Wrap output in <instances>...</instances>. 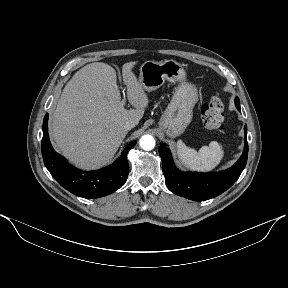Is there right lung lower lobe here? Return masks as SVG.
<instances>
[{
  "instance_id": "98d812e1",
  "label": "right lung lower lobe",
  "mask_w": 288,
  "mask_h": 288,
  "mask_svg": "<svg viewBox=\"0 0 288 288\" xmlns=\"http://www.w3.org/2000/svg\"><path fill=\"white\" fill-rule=\"evenodd\" d=\"M47 123L48 114L43 121V161L62 187L79 197L99 198L113 193L125 183L129 174L127 153L135 146L136 141L128 144L112 165L96 171H82L71 166L65 158L55 152L49 140Z\"/></svg>"
}]
</instances>
